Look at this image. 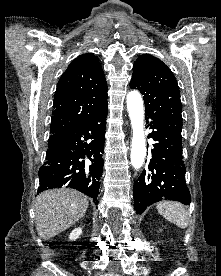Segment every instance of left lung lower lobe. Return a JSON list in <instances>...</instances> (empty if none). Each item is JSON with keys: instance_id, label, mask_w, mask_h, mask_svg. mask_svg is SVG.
Listing matches in <instances>:
<instances>
[{"instance_id": "1", "label": "left lung lower lobe", "mask_w": 221, "mask_h": 276, "mask_svg": "<svg viewBox=\"0 0 221 276\" xmlns=\"http://www.w3.org/2000/svg\"><path fill=\"white\" fill-rule=\"evenodd\" d=\"M153 131L148 135L155 141L147 167L134 183V204L137 214L147 206L165 199L191 202L185 182V166L182 157L181 131L169 126L150 123ZM147 126V127H148Z\"/></svg>"}]
</instances>
